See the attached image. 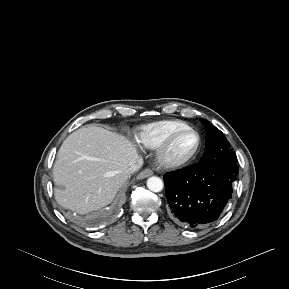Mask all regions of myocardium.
I'll list each match as a JSON object with an SVG mask.
<instances>
[{
    "label": "myocardium",
    "mask_w": 289,
    "mask_h": 289,
    "mask_svg": "<svg viewBox=\"0 0 289 289\" xmlns=\"http://www.w3.org/2000/svg\"><path fill=\"white\" fill-rule=\"evenodd\" d=\"M192 133L197 138V143L192 152L183 157H174L171 155V149L176 142V140L184 134ZM201 147V136L193 128H186L179 130L172 134L164 143H162L156 153V162L157 164L164 169H174L186 165L192 161L198 154Z\"/></svg>",
    "instance_id": "obj_1"
}]
</instances>
